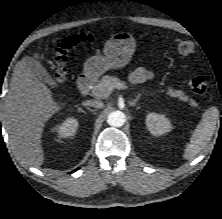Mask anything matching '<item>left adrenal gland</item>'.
Wrapping results in <instances>:
<instances>
[{"mask_svg": "<svg viewBox=\"0 0 222 219\" xmlns=\"http://www.w3.org/2000/svg\"><path fill=\"white\" fill-rule=\"evenodd\" d=\"M139 98H140V94H139L134 100L129 101V102H128L129 105H130V106H135L136 103L138 102Z\"/></svg>", "mask_w": 222, "mask_h": 219, "instance_id": "a2214340", "label": "left adrenal gland"}]
</instances>
